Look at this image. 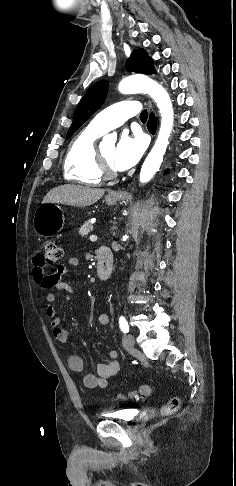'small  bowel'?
<instances>
[{
	"instance_id": "1",
	"label": "small bowel",
	"mask_w": 236,
	"mask_h": 486,
	"mask_svg": "<svg viewBox=\"0 0 236 486\" xmlns=\"http://www.w3.org/2000/svg\"><path fill=\"white\" fill-rule=\"evenodd\" d=\"M33 263V277L35 283L43 289L49 290L46 295V300L48 302L46 307V315L51 320L54 337L59 343L67 344L70 340V332L66 328L61 327V318L55 306L59 291L65 290L71 294L75 293V290L71 286L60 281L61 277L67 273V264H58L54 266L50 272H47V264L44 263L41 254L34 257ZM68 264L76 266L78 264V260L76 258H70L68 260ZM98 322L101 325H106L109 322L108 315L100 314L98 316ZM109 358L110 359L108 362L99 364L97 366L95 374L87 373L85 371L84 362L78 355H69L68 365L71 370L81 375L82 381L86 387L105 388L107 386L108 379L115 376L120 370L118 353L116 351H110Z\"/></svg>"
}]
</instances>
